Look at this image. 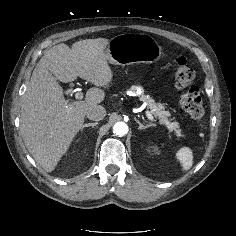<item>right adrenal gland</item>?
Here are the masks:
<instances>
[{
    "instance_id": "obj_1",
    "label": "right adrenal gland",
    "mask_w": 236,
    "mask_h": 236,
    "mask_svg": "<svg viewBox=\"0 0 236 236\" xmlns=\"http://www.w3.org/2000/svg\"><path fill=\"white\" fill-rule=\"evenodd\" d=\"M97 124H98V122L84 124V125L82 126V128H81V131H82L84 128L90 127V126H91L92 128H94Z\"/></svg>"
}]
</instances>
